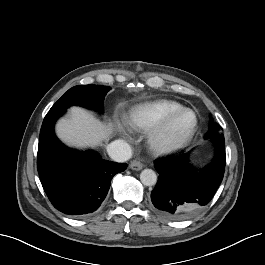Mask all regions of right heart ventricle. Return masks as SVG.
Segmentation results:
<instances>
[{
	"label": "right heart ventricle",
	"instance_id": "obj_1",
	"mask_svg": "<svg viewBox=\"0 0 265 265\" xmlns=\"http://www.w3.org/2000/svg\"><path fill=\"white\" fill-rule=\"evenodd\" d=\"M174 100L161 99L134 108L124 118L125 126L134 132H149L169 113L182 108Z\"/></svg>",
	"mask_w": 265,
	"mask_h": 265
}]
</instances>
